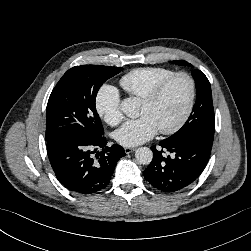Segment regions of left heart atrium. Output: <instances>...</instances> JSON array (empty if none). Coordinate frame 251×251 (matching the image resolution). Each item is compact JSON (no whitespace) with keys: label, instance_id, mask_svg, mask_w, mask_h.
I'll return each mask as SVG.
<instances>
[{"label":"left heart atrium","instance_id":"39dd6f15","mask_svg":"<svg viewBox=\"0 0 251 251\" xmlns=\"http://www.w3.org/2000/svg\"><path fill=\"white\" fill-rule=\"evenodd\" d=\"M157 126L148 115L128 120L115 132V140L122 146L134 147L142 144L155 136Z\"/></svg>","mask_w":251,"mask_h":251}]
</instances>
